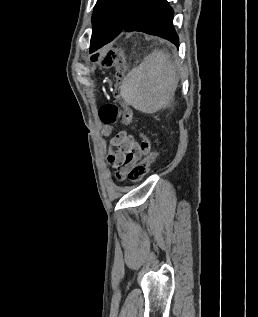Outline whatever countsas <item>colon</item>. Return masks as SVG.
<instances>
[{
  "label": "colon",
  "instance_id": "5ec220e1",
  "mask_svg": "<svg viewBox=\"0 0 258 317\" xmlns=\"http://www.w3.org/2000/svg\"><path fill=\"white\" fill-rule=\"evenodd\" d=\"M92 61L101 67H110L114 62L113 52L110 51L93 54ZM123 77V69H120L114 89L115 95H119ZM99 116L105 124H111L121 119L123 123L129 125L133 121V112L131 110H126L122 113L120 107L114 103L103 105L99 110ZM159 155V150L149 152L144 159L130 168L127 173L128 178L133 182H139L144 179V177L148 174L150 167L154 164Z\"/></svg>",
  "mask_w": 258,
  "mask_h": 317
}]
</instances>
